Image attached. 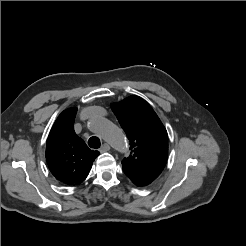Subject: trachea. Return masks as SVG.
<instances>
[{
    "label": "trachea",
    "mask_w": 246,
    "mask_h": 246,
    "mask_svg": "<svg viewBox=\"0 0 246 246\" xmlns=\"http://www.w3.org/2000/svg\"><path fill=\"white\" fill-rule=\"evenodd\" d=\"M88 145L91 147V148H94V149H97L100 147L101 143H100V139L98 137H91L89 140H88Z\"/></svg>",
    "instance_id": "trachea-1"
}]
</instances>
